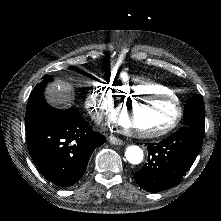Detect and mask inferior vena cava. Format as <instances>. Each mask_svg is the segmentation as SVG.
Here are the masks:
<instances>
[{"instance_id":"602c4592","label":"inferior vena cava","mask_w":221,"mask_h":221,"mask_svg":"<svg viewBox=\"0 0 221 221\" xmlns=\"http://www.w3.org/2000/svg\"><path fill=\"white\" fill-rule=\"evenodd\" d=\"M99 119V123L102 121V118L101 117H97V120Z\"/></svg>"}]
</instances>
